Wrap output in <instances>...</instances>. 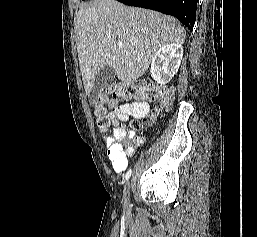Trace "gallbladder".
I'll use <instances>...</instances> for the list:
<instances>
[{"instance_id":"bac80fb5","label":"gallbladder","mask_w":257,"mask_h":237,"mask_svg":"<svg viewBox=\"0 0 257 237\" xmlns=\"http://www.w3.org/2000/svg\"><path fill=\"white\" fill-rule=\"evenodd\" d=\"M115 69L112 66L105 65L97 73L91 90L90 98L95 101L99 93H101L115 77Z\"/></svg>"}]
</instances>
